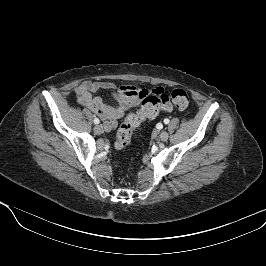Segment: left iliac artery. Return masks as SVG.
<instances>
[{"label": "left iliac artery", "instance_id": "left-iliac-artery-1", "mask_svg": "<svg viewBox=\"0 0 266 266\" xmlns=\"http://www.w3.org/2000/svg\"><path fill=\"white\" fill-rule=\"evenodd\" d=\"M164 123H165V124H168V123H169V119H167V118L164 119Z\"/></svg>", "mask_w": 266, "mask_h": 266}]
</instances>
